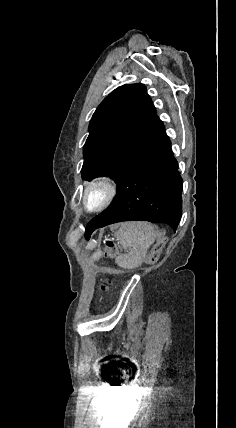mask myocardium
<instances>
[{
  "instance_id": "1",
  "label": "myocardium",
  "mask_w": 236,
  "mask_h": 428,
  "mask_svg": "<svg viewBox=\"0 0 236 428\" xmlns=\"http://www.w3.org/2000/svg\"><path fill=\"white\" fill-rule=\"evenodd\" d=\"M99 191L101 198L96 203L90 202V196L93 192ZM119 193V185L112 177L98 176L89 180L83 190L82 204L86 211L90 213L101 212L109 207Z\"/></svg>"
}]
</instances>
